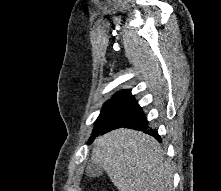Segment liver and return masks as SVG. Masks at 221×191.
I'll return each instance as SVG.
<instances>
[{"instance_id": "6515ba94", "label": "liver", "mask_w": 221, "mask_h": 191, "mask_svg": "<svg viewBox=\"0 0 221 191\" xmlns=\"http://www.w3.org/2000/svg\"><path fill=\"white\" fill-rule=\"evenodd\" d=\"M151 136L117 129L94 141L91 159L120 191H171L173 169Z\"/></svg>"}]
</instances>
